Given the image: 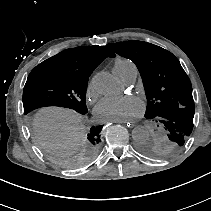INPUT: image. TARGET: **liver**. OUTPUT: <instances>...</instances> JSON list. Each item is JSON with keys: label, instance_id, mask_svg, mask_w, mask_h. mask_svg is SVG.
Here are the masks:
<instances>
[{"label": "liver", "instance_id": "1", "mask_svg": "<svg viewBox=\"0 0 211 211\" xmlns=\"http://www.w3.org/2000/svg\"><path fill=\"white\" fill-rule=\"evenodd\" d=\"M83 129L81 116L67 108H41L33 119L36 143L63 158L78 150Z\"/></svg>", "mask_w": 211, "mask_h": 211}]
</instances>
